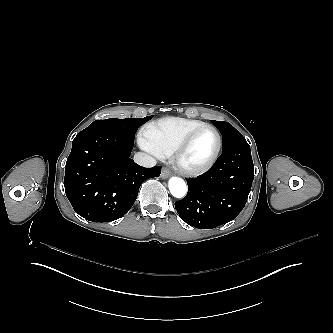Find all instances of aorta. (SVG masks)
I'll return each mask as SVG.
<instances>
[{
  "label": "aorta",
  "instance_id": "aorta-1",
  "mask_svg": "<svg viewBox=\"0 0 333 333\" xmlns=\"http://www.w3.org/2000/svg\"><path fill=\"white\" fill-rule=\"evenodd\" d=\"M170 193L175 198H183L187 194V185L182 178L171 177L168 182Z\"/></svg>",
  "mask_w": 333,
  "mask_h": 333
}]
</instances>
